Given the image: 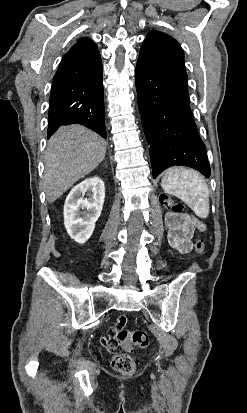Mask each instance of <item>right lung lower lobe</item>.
<instances>
[{"mask_svg":"<svg viewBox=\"0 0 247 413\" xmlns=\"http://www.w3.org/2000/svg\"><path fill=\"white\" fill-rule=\"evenodd\" d=\"M79 123L106 139L102 63L58 68L48 111V139L62 125Z\"/></svg>","mask_w":247,"mask_h":413,"instance_id":"1","label":"right lung lower lobe"}]
</instances>
